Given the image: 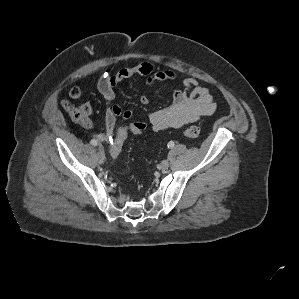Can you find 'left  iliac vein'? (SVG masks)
<instances>
[{
  "mask_svg": "<svg viewBox=\"0 0 299 299\" xmlns=\"http://www.w3.org/2000/svg\"><path fill=\"white\" fill-rule=\"evenodd\" d=\"M160 167H161L162 170H167L169 168L168 160H163L160 164Z\"/></svg>",
  "mask_w": 299,
  "mask_h": 299,
  "instance_id": "4c4485c4",
  "label": "left iliac vein"
}]
</instances>
